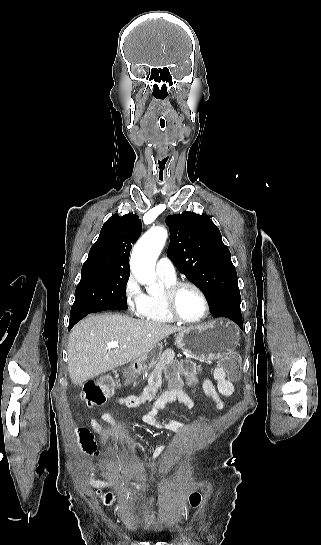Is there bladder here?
I'll return each instance as SVG.
<instances>
[{
	"label": "bladder",
	"mask_w": 321,
	"mask_h": 545,
	"mask_svg": "<svg viewBox=\"0 0 321 545\" xmlns=\"http://www.w3.org/2000/svg\"><path fill=\"white\" fill-rule=\"evenodd\" d=\"M130 520L132 526L145 535L157 534L164 530L163 525L157 519L155 503L152 498L138 501L132 509Z\"/></svg>",
	"instance_id": "31cf9c89"
}]
</instances>
